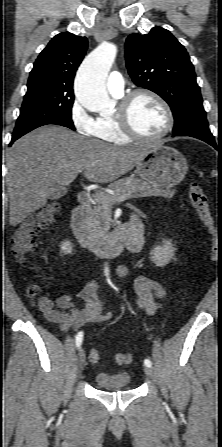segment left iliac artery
I'll list each match as a JSON object with an SVG mask.
<instances>
[{
  "instance_id": "left-iliac-artery-1",
  "label": "left iliac artery",
  "mask_w": 222,
  "mask_h": 447,
  "mask_svg": "<svg viewBox=\"0 0 222 447\" xmlns=\"http://www.w3.org/2000/svg\"><path fill=\"white\" fill-rule=\"evenodd\" d=\"M144 364H145L146 366H148V367H151V366H152V362H151L149 359H145V360H144Z\"/></svg>"
}]
</instances>
